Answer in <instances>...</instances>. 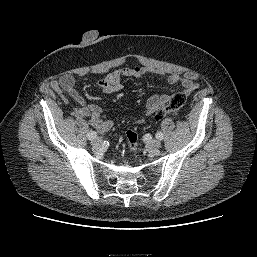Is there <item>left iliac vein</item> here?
I'll return each mask as SVG.
<instances>
[{
	"instance_id": "1",
	"label": "left iliac vein",
	"mask_w": 257,
	"mask_h": 257,
	"mask_svg": "<svg viewBox=\"0 0 257 257\" xmlns=\"http://www.w3.org/2000/svg\"><path fill=\"white\" fill-rule=\"evenodd\" d=\"M148 147L152 151H156L161 147V142L159 140H151L148 144Z\"/></svg>"
}]
</instances>
